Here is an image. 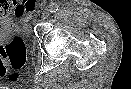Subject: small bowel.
Segmentation results:
<instances>
[{
    "instance_id": "small-bowel-1",
    "label": "small bowel",
    "mask_w": 131,
    "mask_h": 89,
    "mask_svg": "<svg viewBox=\"0 0 131 89\" xmlns=\"http://www.w3.org/2000/svg\"><path fill=\"white\" fill-rule=\"evenodd\" d=\"M10 6V12L14 17L25 15L27 17L32 16L36 10V4L33 0H27L23 3L8 2ZM10 12L6 11V7L0 9V25L3 27L10 26L13 19L10 17Z\"/></svg>"
}]
</instances>
